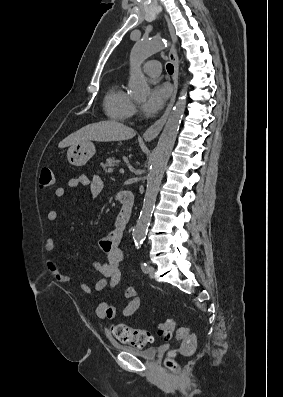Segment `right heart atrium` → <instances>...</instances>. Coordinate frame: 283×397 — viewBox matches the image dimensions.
<instances>
[{
    "mask_svg": "<svg viewBox=\"0 0 283 397\" xmlns=\"http://www.w3.org/2000/svg\"><path fill=\"white\" fill-rule=\"evenodd\" d=\"M136 112H137V108H136V106L132 103V104H131V107H130V110H129V115H130V116L135 115Z\"/></svg>",
    "mask_w": 283,
    "mask_h": 397,
    "instance_id": "1",
    "label": "right heart atrium"
}]
</instances>
